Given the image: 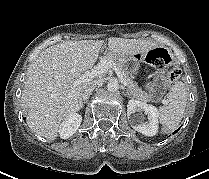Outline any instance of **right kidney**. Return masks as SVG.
<instances>
[{"label":"right kidney","instance_id":"ca27d5eb","mask_svg":"<svg viewBox=\"0 0 209 179\" xmlns=\"http://www.w3.org/2000/svg\"><path fill=\"white\" fill-rule=\"evenodd\" d=\"M82 121V116L78 113H71L61 123L59 127V136L62 139L71 137L79 128Z\"/></svg>","mask_w":209,"mask_h":179}]
</instances>
